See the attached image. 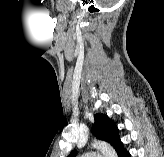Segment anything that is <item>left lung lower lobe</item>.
I'll use <instances>...</instances> for the list:
<instances>
[{"label":"left lung lower lobe","mask_w":164,"mask_h":157,"mask_svg":"<svg viewBox=\"0 0 164 157\" xmlns=\"http://www.w3.org/2000/svg\"><path fill=\"white\" fill-rule=\"evenodd\" d=\"M118 157H131V155L129 154V152H127L124 147H123V143L121 141H119L115 146H114Z\"/></svg>","instance_id":"left-lung-lower-lobe-1"}]
</instances>
